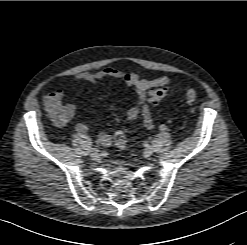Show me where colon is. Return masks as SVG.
I'll return each instance as SVG.
<instances>
[{"label": "colon", "mask_w": 247, "mask_h": 245, "mask_svg": "<svg viewBox=\"0 0 247 245\" xmlns=\"http://www.w3.org/2000/svg\"><path fill=\"white\" fill-rule=\"evenodd\" d=\"M167 95V90L165 88H156L149 92L150 100L153 103L160 102ZM186 99L188 104L193 105L197 100V92L193 89H188L186 91ZM54 120H62L65 116L64 110L62 108L56 107L50 112ZM114 143L119 149H124L127 144V139L123 131L117 130L114 133Z\"/></svg>", "instance_id": "obj_1"}]
</instances>
